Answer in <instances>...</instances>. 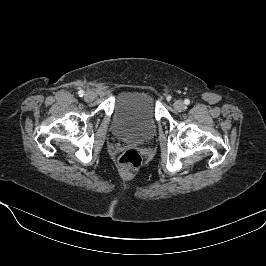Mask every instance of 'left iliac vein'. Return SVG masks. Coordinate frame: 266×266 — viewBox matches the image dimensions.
<instances>
[{
	"mask_svg": "<svg viewBox=\"0 0 266 266\" xmlns=\"http://www.w3.org/2000/svg\"><path fill=\"white\" fill-rule=\"evenodd\" d=\"M185 107V104L182 100H177L175 103H174V108L176 111H179L181 112Z\"/></svg>",
	"mask_w": 266,
	"mask_h": 266,
	"instance_id": "1",
	"label": "left iliac vein"
}]
</instances>
